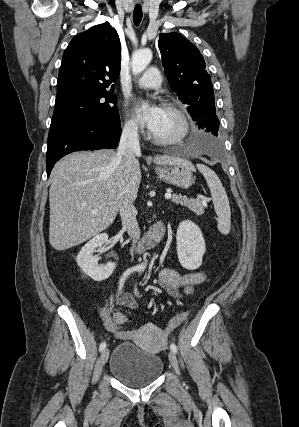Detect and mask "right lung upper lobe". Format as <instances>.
Listing matches in <instances>:
<instances>
[{
  "label": "right lung upper lobe",
  "mask_w": 299,
  "mask_h": 427,
  "mask_svg": "<svg viewBox=\"0 0 299 427\" xmlns=\"http://www.w3.org/2000/svg\"><path fill=\"white\" fill-rule=\"evenodd\" d=\"M119 36L108 23L76 35L63 54L56 101L83 93L113 90L120 72Z\"/></svg>",
  "instance_id": "cb5924a9"
}]
</instances>
